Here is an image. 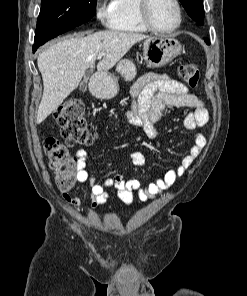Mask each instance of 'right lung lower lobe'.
<instances>
[{"label": "right lung lower lobe", "mask_w": 247, "mask_h": 296, "mask_svg": "<svg viewBox=\"0 0 247 296\" xmlns=\"http://www.w3.org/2000/svg\"><path fill=\"white\" fill-rule=\"evenodd\" d=\"M38 47L33 46V51L35 52Z\"/></svg>", "instance_id": "obj_1"}]
</instances>
